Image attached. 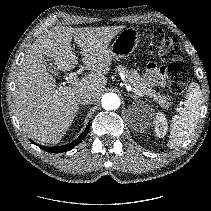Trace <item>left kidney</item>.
<instances>
[{"label": "left kidney", "instance_id": "obj_1", "mask_svg": "<svg viewBox=\"0 0 211 211\" xmlns=\"http://www.w3.org/2000/svg\"><path fill=\"white\" fill-rule=\"evenodd\" d=\"M151 122L148 120L142 121V123H148L149 125H154L155 133L159 138H163L167 133V121L165 115L162 112L152 113Z\"/></svg>", "mask_w": 211, "mask_h": 211}]
</instances>
